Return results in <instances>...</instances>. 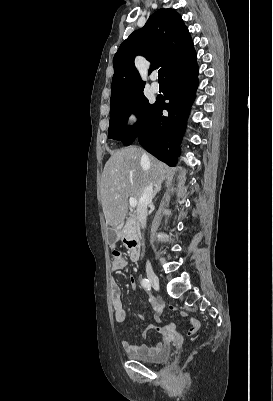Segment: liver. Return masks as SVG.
I'll list each match as a JSON object with an SVG mask.
<instances>
[{"instance_id":"6515ba94","label":"liver","mask_w":273,"mask_h":401,"mask_svg":"<svg viewBox=\"0 0 273 401\" xmlns=\"http://www.w3.org/2000/svg\"><path fill=\"white\" fill-rule=\"evenodd\" d=\"M146 154L143 148L125 146L112 152L101 176V203L106 227H117L128 213V198L133 196L139 203L143 188L149 182L157 184L167 172L166 164Z\"/></svg>"}]
</instances>
